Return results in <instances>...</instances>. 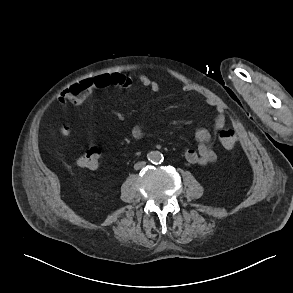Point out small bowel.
<instances>
[{
    "label": "small bowel",
    "mask_w": 293,
    "mask_h": 293,
    "mask_svg": "<svg viewBox=\"0 0 293 293\" xmlns=\"http://www.w3.org/2000/svg\"><path fill=\"white\" fill-rule=\"evenodd\" d=\"M160 77L152 80L149 77L142 75L139 77L140 85L150 89L152 92L159 90L158 81ZM121 88L130 89L133 87L131 79L121 72L101 73L92 77L81 79L65 89L59 96V101L62 103H71L76 106L83 105L91 95L97 91L106 88ZM181 89L184 92H194L192 86L182 84ZM226 124V118L221 108H217V114L214 121L215 129H221ZM132 135L134 138H140L142 135L141 127L134 125L132 127ZM195 140L197 142V149H188L185 152V159L190 164L206 165L213 163L217 154L211 146L212 134L205 128H200L195 132Z\"/></svg>",
    "instance_id": "1"
}]
</instances>
